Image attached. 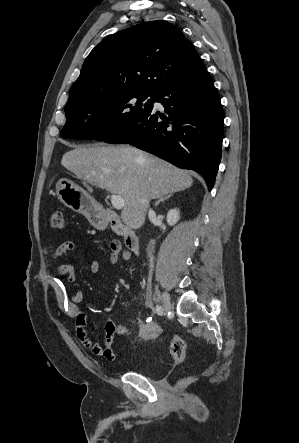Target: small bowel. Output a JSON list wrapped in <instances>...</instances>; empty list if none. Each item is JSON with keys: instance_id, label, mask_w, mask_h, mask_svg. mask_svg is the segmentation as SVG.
<instances>
[{"instance_id": "1", "label": "small bowel", "mask_w": 299, "mask_h": 443, "mask_svg": "<svg viewBox=\"0 0 299 443\" xmlns=\"http://www.w3.org/2000/svg\"><path fill=\"white\" fill-rule=\"evenodd\" d=\"M75 249V242L65 241L55 249L53 257L54 259H60ZM99 269L100 264L98 261H92L90 263L89 271L92 274L98 273ZM56 274L59 277H65L66 281L75 287V291L73 293H69L65 285L60 282L54 286V293L57 308L64 312L73 321L79 341L85 348L91 350L94 355L103 357L108 361L116 360L120 356V351L118 349L119 343L116 338L132 333L130 328L126 324L119 323L112 317H108L103 327L105 334L104 345L93 342L87 331L86 312L77 307V304L81 303L83 300V292L78 287L74 267L69 264H60L56 268ZM150 304V299H148L146 306L150 307ZM87 308L90 310L95 309V307L91 304H88Z\"/></svg>"}]
</instances>
